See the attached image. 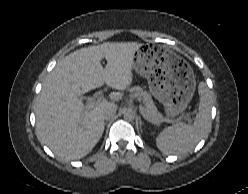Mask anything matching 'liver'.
Wrapping results in <instances>:
<instances>
[{
  "instance_id": "obj_1",
  "label": "liver",
  "mask_w": 248,
  "mask_h": 194,
  "mask_svg": "<svg viewBox=\"0 0 248 194\" xmlns=\"http://www.w3.org/2000/svg\"><path fill=\"white\" fill-rule=\"evenodd\" d=\"M137 42H105L76 50L61 61L45 80L37 98L36 132L59 158L81 159L97 144L104 131V111L117 105L104 101L85 110L81 95L106 83L125 90L133 79ZM105 58L107 65H101ZM118 99L121 93H111Z\"/></svg>"
}]
</instances>
